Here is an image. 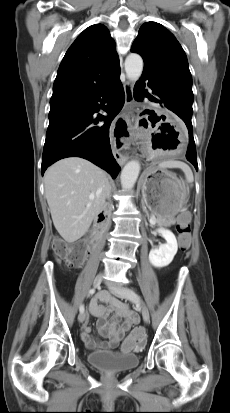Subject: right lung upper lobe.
<instances>
[{
  "label": "right lung upper lobe",
  "instance_id": "right-lung-upper-lobe-1",
  "mask_svg": "<svg viewBox=\"0 0 230 413\" xmlns=\"http://www.w3.org/2000/svg\"><path fill=\"white\" fill-rule=\"evenodd\" d=\"M119 74V57L109 30L102 24L91 25L77 37L61 61L50 104L87 98Z\"/></svg>",
  "mask_w": 230,
  "mask_h": 413
}]
</instances>
